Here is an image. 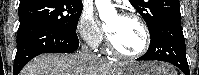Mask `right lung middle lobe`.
<instances>
[{"label":"right lung middle lobe","mask_w":199,"mask_h":75,"mask_svg":"<svg viewBox=\"0 0 199 75\" xmlns=\"http://www.w3.org/2000/svg\"><path fill=\"white\" fill-rule=\"evenodd\" d=\"M82 8V2L78 1L29 0L19 5V21L20 25L41 23L57 31L76 35Z\"/></svg>","instance_id":"obj_1"}]
</instances>
